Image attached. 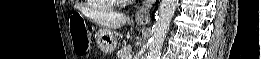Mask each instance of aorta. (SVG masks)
Here are the masks:
<instances>
[{"instance_id": "1", "label": "aorta", "mask_w": 261, "mask_h": 59, "mask_svg": "<svg viewBox=\"0 0 261 59\" xmlns=\"http://www.w3.org/2000/svg\"><path fill=\"white\" fill-rule=\"evenodd\" d=\"M179 0H161L152 26L147 59H160L161 49Z\"/></svg>"}]
</instances>
